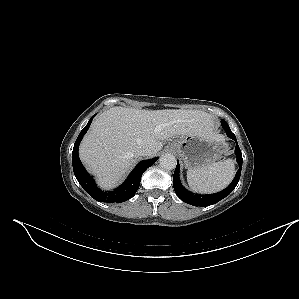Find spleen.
<instances>
[{"label":"spleen","mask_w":299,"mask_h":299,"mask_svg":"<svg viewBox=\"0 0 299 299\" xmlns=\"http://www.w3.org/2000/svg\"><path fill=\"white\" fill-rule=\"evenodd\" d=\"M235 166L232 159L214 162L207 166L188 169L189 187L199 193H214L224 189L232 181Z\"/></svg>","instance_id":"obj_1"}]
</instances>
